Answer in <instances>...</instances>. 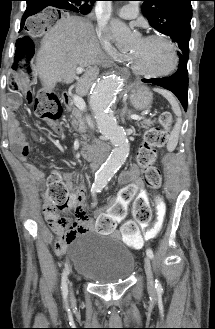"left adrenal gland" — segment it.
<instances>
[{
    "label": "left adrenal gland",
    "instance_id": "a2214340",
    "mask_svg": "<svg viewBox=\"0 0 215 329\" xmlns=\"http://www.w3.org/2000/svg\"><path fill=\"white\" fill-rule=\"evenodd\" d=\"M129 114L130 111L128 110L127 103H125L120 113L122 123L125 122V116H127V118L129 119L128 117Z\"/></svg>",
    "mask_w": 215,
    "mask_h": 329
}]
</instances>
